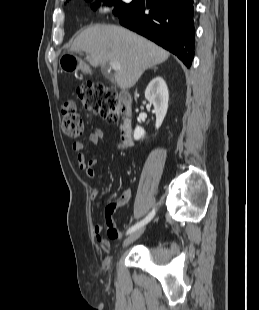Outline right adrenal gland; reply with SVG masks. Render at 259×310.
I'll list each match as a JSON object with an SVG mask.
<instances>
[{"instance_id":"1","label":"right adrenal gland","mask_w":259,"mask_h":310,"mask_svg":"<svg viewBox=\"0 0 259 310\" xmlns=\"http://www.w3.org/2000/svg\"><path fill=\"white\" fill-rule=\"evenodd\" d=\"M149 69H154V71H156V70H157V67H153V68H149Z\"/></svg>"}]
</instances>
